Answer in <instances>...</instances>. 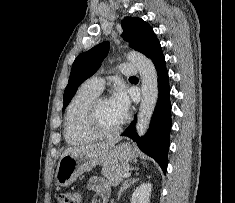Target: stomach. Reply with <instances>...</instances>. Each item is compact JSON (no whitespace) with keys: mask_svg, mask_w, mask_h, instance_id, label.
Instances as JSON below:
<instances>
[{"mask_svg":"<svg viewBox=\"0 0 235 203\" xmlns=\"http://www.w3.org/2000/svg\"><path fill=\"white\" fill-rule=\"evenodd\" d=\"M134 157H136V151L127 143L96 151L69 154L61 157L58 163L55 174L56 183L66 187L71 185L81 174L90 171L97 165L127 164Z\"/></svg>","mask_w":235,"mask_h":203,"instance_id":"obj_1","label":"stomach"}]
</instances>
